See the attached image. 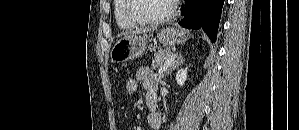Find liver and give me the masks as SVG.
Returning a JSON list of instances; mask_svg holds the SVG:
<instances>
[{"label":"liver","mask_w":299,"mask_h":130,"mask_svg":"<svg viewBox=\"0 0 299 130\" xmlns=\"http://www.w3.org/2000/svg\"><path fill=\"white\" fill-rule=\"evenodd\" d=\"M156 29H157V27L148 28V29H144V30H136V31H132V32H130V34L147 33V32H150V31H154V30H156Z\"/></svg>","instance_id":"6515ba94"}]
</instances>
